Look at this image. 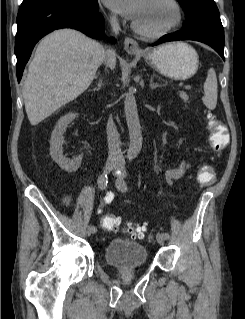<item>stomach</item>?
Segmentation results:
<instances>
[{
	"label": "stomach",
	"instance_id": "stomach-1",
	"mask_svg": "<svg viewBox=\"0 0 245 319\" xmlns=\"http://www.w3.org/2000/svg\"><path fill=\"white\" fill-rule=\"evenodd\" d=\"M141 56L161 74L175 80L192 77L199 65L197 52L185 42L161 45L145 51Z\"/></svg>",
	"mask_w": 245,
	"mask_h": 319
}]
</instances>
